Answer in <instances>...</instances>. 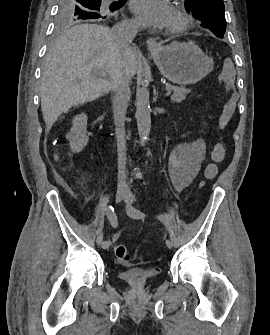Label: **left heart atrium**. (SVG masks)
Instances as JSON below:
<instances>
[{"label": "left heart atrium", "instance_id": "39dd6f15", "mask_svg": "<svg viewBox=\"0 0 270 335\" xmlns=\"http://www.w3.org/2000/svg\"><path fill=\"white\" fill-rule=\"evenodd\" d=\"M131 8L150 33L171 30L177 24L174 10L164 0H134Z\"/></svg>", "mask_w": 270, "mask_h": 335}]
</instances>
